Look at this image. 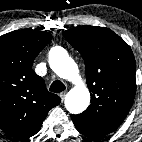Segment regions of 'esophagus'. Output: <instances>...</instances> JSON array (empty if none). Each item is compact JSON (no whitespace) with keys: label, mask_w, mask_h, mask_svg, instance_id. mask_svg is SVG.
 <instances>
[{"label":"esophagus","mask_w":142,"mask_h":142,"mask_svg":"<svg viewBox=\"0 0 142 142\" xmlns=\"http://www.w3.org/2000/svg\"><path fill=\"white\" fill-rule=\"evenodd\" d=\"M59 96H60L61 100L63 101L64 98H65V96H66V92H65V91H64V92H61V93L59 94Z\"/></svg>","instance_id":"obj_1"}]
</instances>
